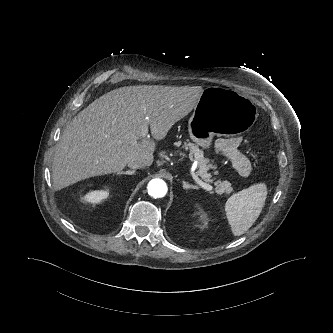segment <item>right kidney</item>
<instances>
[{
  "label": "right kidney",
  "instance_id": "ca27d5eb",
  "mask_svg": "<svg viewBox=\"0 0 333 333\" xmlns=\"http://www.w3.org/2000/svg\"><path fill=\"white\" fill-rule=\"evenodd\" d=\"M109 195L108 191L105 190H100V191H92L84 197L85 201L90 202V203H99L103 199L107 198Z\"/></svg>",
  "mask_w": 333,
  "mask_h": 333
}]
</instances>
